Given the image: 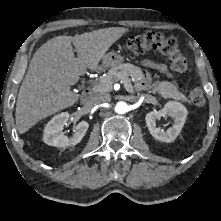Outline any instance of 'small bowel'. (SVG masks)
I'll return each mask as SVG.
<instances>
[{"instance_id": "1", "label": "small bowel", "mask_w": 221, "mask_h": 221, "mask_svg": "<svg viewBox=\"0 0 221 221\" xmlns=\"http://www.w3.org/2000/svg\"><path fill=\"white\" fill-rule=\"evenodd\" d=\"M142 64L146 67L156 69L159 72H161L162 74L166 75L167 77L172 78L171 72L169 71L168 67L163 63H158V62L146 59V60L142 61ZM147 81H148V78L145 77L144 84L147 83Z\"/></svg>"}]
</instances>
